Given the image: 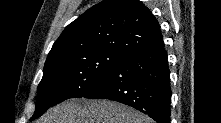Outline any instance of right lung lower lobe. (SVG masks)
Returning a JSON list of instances; mask_svg holds the SVG:
<instances>
[{"label": "right lung lower lobe", "mask_w": 221, "mask_h": 123, "mask_svg": "<svg viewBox=\"0 0 221 123\" xmlns=\"http://www.w3.org/2000/svg\"><path fill=\"white\" fill-rule=\"evenodd\" d=\"M129 105L157 123L170 121V72L163 45L132 52L85 96Z\"/></svg>", "instance_id": "1"}]
</instances>
